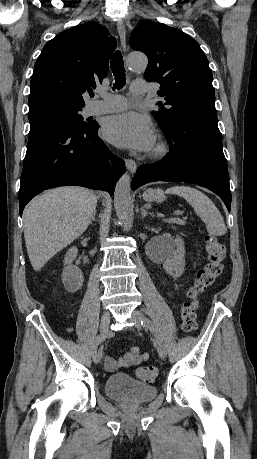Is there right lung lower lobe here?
Segmentation results:
<instances>
[{"label":"right lung lower lobe","mask_w":257,"mask_h":459,"mask_svg":"<svg viewBox=\"0 0 257 459\" xmlns=\"http://www.w3.org/2000/svg\"><path fill=\"white\" fill-rule=\"evenodd\" d=\"M99 125L78 128L45 119L30 121L21 175L19 211L45 189L78 185L114 193L125 163L98 137Z\"/></svg>","instance_id":"98d812e1"}]
</instances>
